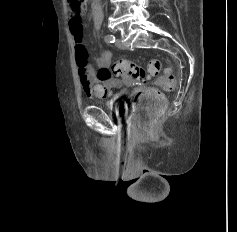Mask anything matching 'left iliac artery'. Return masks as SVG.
<instances>
[{
  "label": "left iliac artery",
  "mask_w": 237,
  "mask_h": 232,
  "mask_svg": "<svg viewBox=\"0 0 237 232\" xmlns=\"http://www.w3.org/2000/svg\"><path fill=\"white\" fill-rule=\"evenodd\" d=\"M105 41L107 43H114L115 42V37L111 34H108V35L105 36Z\"/></svg>",
  "instance_id": "44dca946"
}]
</instances>
